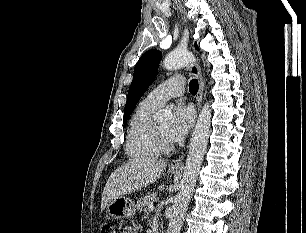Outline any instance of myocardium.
Returning <instances> with one entry per match:
<instances>
[{
	"label": "myocardium",
	"instance_id": "f54148a6",
	"mask_svg": "<svg viewBox=\"0 0 306 233\" xmlns=\"http://www.w3.org/2000/svg\"><path fill=\"white\" fill-rule=\"evenodd\" d=\"M154 137L160 151L168 152L173 149L171 141L167 139L156 126H154Z\"/></svg>",
	"mask_w": 306,
	"mask_h": 233
}]
</instances>
